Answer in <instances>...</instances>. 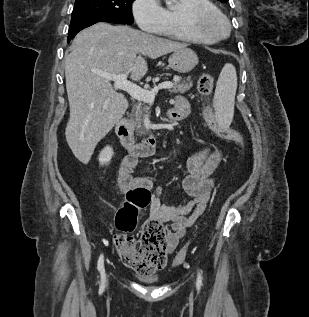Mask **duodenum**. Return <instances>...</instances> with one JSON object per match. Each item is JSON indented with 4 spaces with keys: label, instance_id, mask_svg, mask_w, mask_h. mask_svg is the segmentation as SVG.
Segmentation results:
<instances>
[{
    "label": "duodenum",
    "instance_id": "duodenum-1",
    "mask_svg": "<svg viewBox=\"0 0 309 317\" xmlns=\"http://www.w3.org/2000/svg\"><path fill=\"white\" fill-rule=\"evenodd\" d=\"M169 118L172 119L171 110L168 113ZM163 125L159 126V129ZM115 132L120 140L121 145L129 155L135 157H148L155 153L157 143V132L149 134L143 141L136 142L134 135L130 129L128 120L122 118L118 121L115 127Z\"/></svg>",
    "mask_w": 309,
    "mask_h": 317
}]
</instances>
